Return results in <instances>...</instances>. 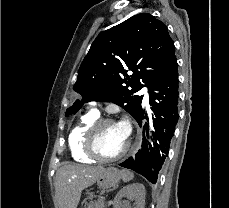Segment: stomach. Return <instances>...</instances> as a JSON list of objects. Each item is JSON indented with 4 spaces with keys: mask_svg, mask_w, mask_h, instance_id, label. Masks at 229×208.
Returning a JSON list of instances; mask_svg holds the SVG:
<instances>
[{
    "mask_svg": "<svg viewBox=\"0 0 229 208\" xmlns=\"http://www.w3.org/2000/svg\"><path fill=\"white\" fill-rule=\"evenodd\" d=\"M119 180H121V174L117 168H105L104 172H101L97 178V186L101 190H107V188L117 186Z\"/></svg>",
    "mask_w": 229,
    "mask_h": 208,
    "instance_id": "stomach-1",
    "label": "stomach"
}]
</instances>
